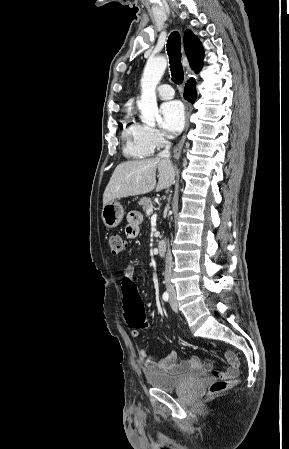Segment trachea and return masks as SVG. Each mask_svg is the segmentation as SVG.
Wrapping results in <instances>:
<instances>
[{
    "label": "trachea",
    "instance_id": "trachea-1",
    "mask_svg": "<svg viewBox=\"0 0 289 449\" xmlns=\"http://www.w3.org/2000/svg\"><path fill=\"white\" fill-rule=\"evenodd\" d=\"M167 53L169 56L172 81L181 84L184 72L181 63V37L178 32H172L167 40Z\"/></svg>",
    "mask_w": 289,
    "mask_h": 449
}]
</instances>
